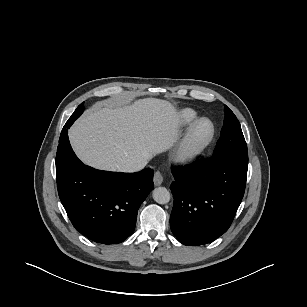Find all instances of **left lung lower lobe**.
<instances>
[{
    "label": "left lung lower lobe",
    "mask_w": 307,
    "mask_h": 307,
    "mask_svg": "<svg viewBox=\"0 0 307 307\" xmlns=\"http://www.w3.org/2000/svg\"><path fill=\"white\" fill-rule=\"evenodd\" d=\"M247 168L229 157L172 167L170 227L182 244H206L228 230L244 195Z\"/></svg>",
    "instance_id": "0a47b994"
}]
</instances>
